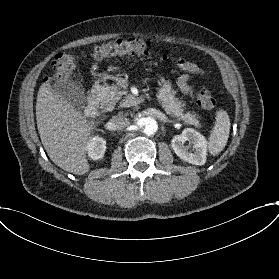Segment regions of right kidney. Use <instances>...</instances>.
<instances>
[{
  "label": "right kidney",
  "mask_w": 279,
  "mask_h": 279,
  "mask_svg": "<svg viewBox=\"0 0 279 279\" xmlns=\"http://www.w3.org/2000/svg\"><path fill=\"white\" fill-rule=\"evenodd\" d=\"M106 151V141L99 136L91 137L86 143V152L92 160H100Z\"/></svg>",
  "instance_id": "ca27d5eb"
}]
</instances>
